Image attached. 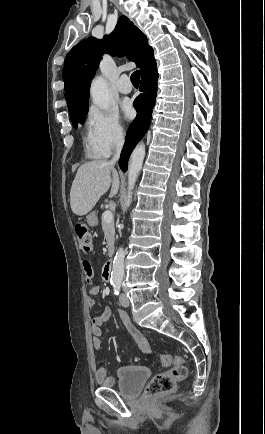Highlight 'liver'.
<instances>
[{"instance_id":"liver-1","label":"liver","mask_w":265,"mask_h":434,"mask_svg":"<svg viewBox=\"0 0 265 434\" xmlns=\"http://www.w3.org/2000/svg\"><path fill=\"white\" fill-rule=\"evenodd\" d=\"M109 198L118 194L120 180L114 168L107 160L87 162L78 168L76 178L70 192V204L73 214L85 216L88 214L101 196L109 190Z\"/></svg>"}]
</instances>
